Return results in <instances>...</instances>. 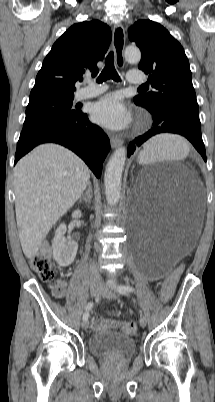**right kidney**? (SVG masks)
Masks as SVG:
<instances>
[{
    "label": "right kidney",
    "mask_w": 215,
    "mask_h": 402,
    "mask_svg": "<svg viewBox=\"0 0 215 402\" xmlns=\"http://www.w3.org/2000/svg\"><path fill=\"white\" fill-rule=\"evenodd\" d=\"M81 215V211L76 210L73 212L72 217L80 218ZM66 230V225L61 224L57 228L52 242L53 258L60 266L63 267L69 266L73 262L78 250V244L76 241L67 240L64 237Z\"/></svg>",
    "instance_id": "1"
}]
</instances>
